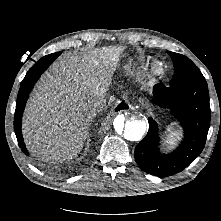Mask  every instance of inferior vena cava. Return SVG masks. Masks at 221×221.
<instances>
[{"instance_id": "inferior-vena-cava-1", "label": "inferior vena cava", "mask_w": 221, "mask_h": 221, "mask_svg": "<svg viewBox=\"0 0 221 221\" xmlns=\"http://www.w3.org/2000/svg\"><path fill=\"white\" fill-rule=\"evenodd\" d=\"M106 99L104 98H100L99 100H97L94 104V108H93V112L94 115L96 114V112L101 111L103 108L106 107Z\"/></svg>"}]
</instances>
